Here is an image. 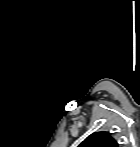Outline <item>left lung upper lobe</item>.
Listing matches in <instances>:
<instances>
[{
    "label": "left lung upper lobe",
    "mask_w": 140,
    "mask_h": 147,
    "mask_svg": "<svg viewBox=\"0 0 140 147\" xmlns=\"http://www.w3.org/2000/svg\"><path fill=\"white\" fill-rule=\"evenodd\" d=\"M79 147H118L108 132H96L88 136Z\"/></svg>",
    "instance_id": "left-lung-upper-lobe-1"
}]
</instances>
